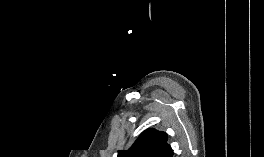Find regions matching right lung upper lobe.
I'll use <instances>...</instances> for the list:
<instances>
[{
  "instance_id": "obj_1",
  "label": "right lung upper lobe",
  "mask_w": 264,
  "mask_h": 157,
  "mask_svg": "<svg viewBox=\"0 0 264 157\" xmlns=\"http://www.w3.org/2000/svg\"><path fill=\"white\" fill-rule=\"evenodd\" d=\"M117 157H173L167 144V134L155 129L144 131L128 150H120Z\"/></svg>"
}]
</instances>
